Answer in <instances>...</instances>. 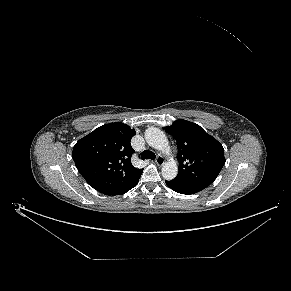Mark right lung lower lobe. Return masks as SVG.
Returning a JSON list of instances; mask_svg holds the SVG:
<instances>
[{"label": "right lung lower lobe", "instance_id": "1", "mask_svg": "<svg viewBox=\"0 0 291 291\" xmlns=\"http://www.w3.org/2000/svg\"><path fill=\"white\" fill-rule=\"evenodd\" d=\"M140 178V177H139ZM139 178L138 179H136L131 185H129L125 190H123V191H121V192H119V193H116V194H114V195H121V194H124V193H126L127 191H129L130 189H132L134 186H136V184L138 183V181H139Z\"/></svg>", "mask_w": 291, "mask_h": 291}]
</instances>
